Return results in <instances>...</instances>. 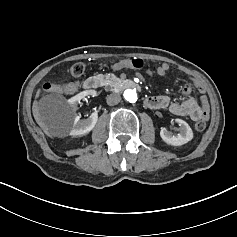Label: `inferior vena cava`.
Segmentation results:
<instances>
[{
    "mask_svg": "<svg viewBox=\"0 0 237 237\" xmlns=\"http://www.w3.org/2000/svg\"><path fill=\"white\" fill-rule=\"evenodd\" d=\"M121 101V97L118 94L112 93L107 96V104L113 106L118 104Z\"/></svg>",
    "mask_w": 237,
    "mask_h": 237,
    "instance_id": "602c4592",
    "label": "inferior vena cava"
}]
</instances>
